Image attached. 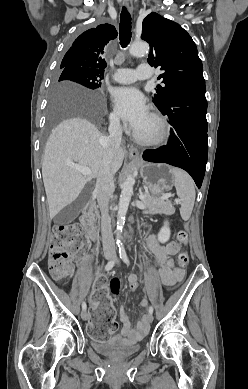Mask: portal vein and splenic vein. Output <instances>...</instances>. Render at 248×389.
<instances>
[{
  "mask_svg": "<svg viewBox=\"0 0 248 389\" xmlns=\"http://www.w3.org/2000/svg\"><path fill=\"white\" fill-rule=\"evenodd\" d=\"M68 165H69L71 168L80 171V172H81L83 175H85V176H93L91 169L88 168V167L80 166V165H77V164H74V163H68ZM171 196H172L171 193H166V194L162 195L160 198L163 199V200H165V199H168V198L171 197ZM139 198H140L141 200H143V199H144V195L141 194V195L139 196Z\"/></svg>",
  "mask_w": 248,
  "mask_h": 389,
  "instance_id": "portal-vein-and-splenic-vein-1",
  "label": "portal vein and splenic vein"
}]
</instances>
